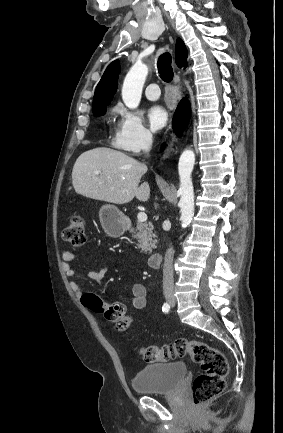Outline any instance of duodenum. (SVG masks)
Segmentation results:
<instances>
[{
    "instance_id": "obj_1",
    "label": "duodenum",
    "mask_w": 283,
    "mask_h": 433,
    "mask_svg": "<svg viewBox=\"0 0 283 433\" xmlns=\"http://www.w3.org/2000/svg\"><path fill=\"white\" fill-rule=\"evenodd\" d=\"M162 254L161 253H154L149 257L148 264L151 268L157 269L160 267L162 263Z\"/></svg>"
}]
</instances>
